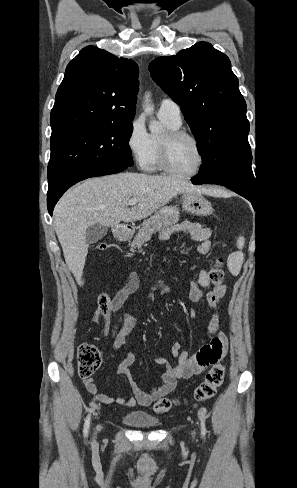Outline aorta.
<instances>
[{
	"label": "aorta",
	"mask_w": 297,
	"mask_h": 488,
	"mask_svg": "<svg viewBox=\"0 0 297 488\" xmlns=\"http://www.w3.org/2000/svg\"><path fill=\"white\" fill-rule=\"evenodd\" d=\"M143 108H144V111L150 115H152L153 111H154V106L153 104L151 103V99H150V94L149 93H146L144 95V101H143ZM149 129L152 133H159L162 131L163 127L162 125L154 120L152 117H151V120H150V123H149Z\"/></svg>",
	"instance_id": "762f6f07"
}]
</instances>
